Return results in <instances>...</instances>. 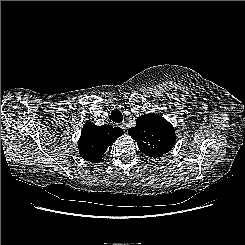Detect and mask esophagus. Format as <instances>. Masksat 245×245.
Here are the masks:
<instances>
[{
  "label": "esophagus",
  "mask_w": 245,
  "mask_h": 245,
  "mask_svg": "<svg viewBox=\"0 0 245 245\" xmlns=\"http://www.w3.org/2000/svg\"><path fill=\"white\" fill-rule=\"evenodd\" d=\"M119 127L124 131V132H126V125H125V123L123 122V123H121V124H119Z\"/></svg>",
  "instance_id": "esophagus-1"
}]
</instances>
